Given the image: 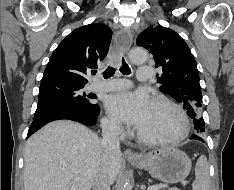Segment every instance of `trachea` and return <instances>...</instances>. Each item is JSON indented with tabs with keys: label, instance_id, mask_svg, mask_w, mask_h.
I'll return each mask as SVG.
<instances>
[{
	"label": "trachea",
	"instance_id": "trachea-1",
	"mask_svg": "<svg viewBox=\"0 0 234 190\" xmlns=\"http://www.w3.org/2000/svg\"><path fill=\"white\" fill-rule=\"evenodd\" d=\"M120 71L122 74L124 75H129L131 73V70L128 66V64L125 62V60L122 58V66L120 67ZM115 73V69L113 67H108L103 75H104V78H110L114 75ZM93 74H96V71L93 72Z\"/></svg>",
	"mask_w": 234,
	"mask_h": 190
}]
</instances>
